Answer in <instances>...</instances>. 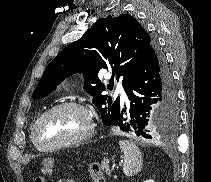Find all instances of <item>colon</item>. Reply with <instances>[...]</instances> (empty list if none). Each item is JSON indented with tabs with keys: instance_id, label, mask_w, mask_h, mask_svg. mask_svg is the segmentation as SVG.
I'll list each match as a JSON object with an SVG mask.
<instances>
[{
	"instance_id": "5ec220e1",
	"label": "colon",
	"mask_w": 211,
	"mask_h": 182,
	"mask_svg": "<svg viewBox=\"0 0 211 182\" xmlns=\"http://www.w3.org/2000/svg\"><path fill=\"white\" fill-rule=\"evenodd\" d=\"M52 173V166L47 164L42 169V174L37 176L34 182H45V178ZM89 173L94 182H106V178L98 163H91L89 166Z\"/></svg>"
}]
</instances>
